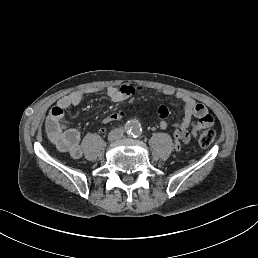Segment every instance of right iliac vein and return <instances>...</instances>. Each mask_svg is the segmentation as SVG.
Here are the masks:
<instances>
[{"label":"right iliac vein","instance_id":"1","mask_svg":"<svg viewBox=\"0 0 258 258\" xmlns=\"http://www.w3.org/2000/svg\"><path fill=\"white\" fill-rule=\"evenodd\" d=\"M119 138H120V134L117 131L112 132V134H110V136H109V139L112 142L119 140Z\"/></svg>","mask_w":258,"mask_h":258}]
</instances>
